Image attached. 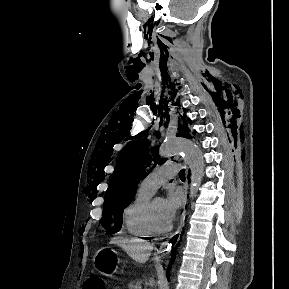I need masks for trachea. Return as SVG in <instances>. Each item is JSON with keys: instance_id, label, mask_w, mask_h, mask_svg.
Here are the masks:
<instances>
[{"instance_id": "obj_1", "label": "trachea", "mask_w": 289, "mask_h": 289, "mask_svg": "<svg viewBox=\"0 0 289 289\" xmlns=\"http://www.w3.org/2000/svg\"><path fill=\"white\" fill-rule=\"evenodd\" d=\"M179 177H180L181 179H185V170H184V169H182V170L180 171Z\"/></svg>"}]
</instances>
